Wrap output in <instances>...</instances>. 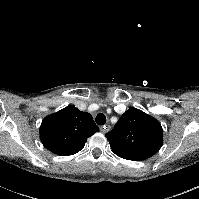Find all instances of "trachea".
<instances>
[{"label":"trachea","mask_w":199,"mask_h":199,"mask_svg":"<svg viewBox=\"0 0 199 199\" xmlns=\"http://www.w3.org/2000/svg\"><path fill=\"white\" fill-rule=\"evenodd\" d=\"M95 121L98 125H104L106 123V116L102 113H99L96 116Z\"/></svg>","instance_id":"trachea-1"}]
</instances>
